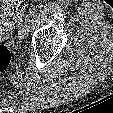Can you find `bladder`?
<instances>
[{"label": "bladder", "instance_id": "bladder-1", "mask_svg": "<svg viewBox=\"0 0 113 113\" xmlns=\"http://www.w3.org/2000/svg\"><path fill=\"white\" fill-rule=\"evenodd\" d=\"M1 18V17H0ZM6 21V17H2L1 18V22H0V41L5 39L6 37L9 36L11 30H12V25L9 23L7 26L3 25L2 22Z\"/></svg>", "mask_w": 113, "mask_h": 113}]
</instances>
